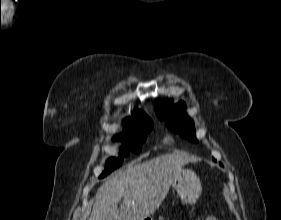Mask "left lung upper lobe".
I'll return each instance as SVG.
<instances>
[{
	"mask_svg": "<svg viewBox=\"0 0 281 220\" xmlns=\"http://www.w3.org/2000/svg\"><path fill=\"white\" fill-rule=\"evenodd\" d=\"M155 111L160 119H165L169 128L196 142L194 123L185 113V104L182 101L175 105L172 100L156 101Z\"/></svg>",
	"mask_w": 281,
	"mask_h": 220,
	"instance_id": "obj_1",
	"label": "left lung upper lobe"
}]
</instances>
